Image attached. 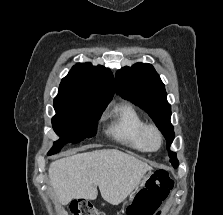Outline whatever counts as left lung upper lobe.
I'll use <instances>...</instances> for the list:
<instances>
[{
  "mask_svg": "<svg viewBox=\"0 0 223 215\" xmlns=\"http://www.w3.org/2000/svg\"><path fill=\"white\" fill-rule=\"evenodd\" d=\"M116 92L124 99L144 109L153 119L167 140L170 163L177 167L176 153L169 150L174 139V128L170 122L171 106L163 82L151 64L136 63L116 72Z\"/></svg>",
  "mask_w": 223,
  "mask_h": 215,
  "instance_id": "left-lung-upper-lobe-1",
  "label": "left lung upper lobe"
}]
</instances>
